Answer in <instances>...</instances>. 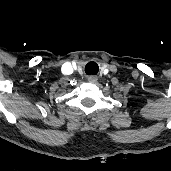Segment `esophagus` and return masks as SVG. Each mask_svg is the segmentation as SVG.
Here are the masks:
<instances>
[{
  "label": "esophagus",
  "mask_w": 171,
  "mask_h": 171,
  "mask_svg": "<svg viewBox=\"0 0 171 171\" xmlns=\"http://www.w3.org/2000/svg\"><path fill=\"white\" fill-rule=\"evenodd\" d=\"M88 80H89L90 82H95V81L97 80V77L91 75V76L88 77Z\"/></svg>",
  "instance_id": "34e87169"
}]
</instances>
